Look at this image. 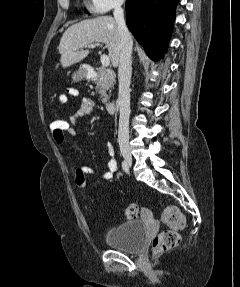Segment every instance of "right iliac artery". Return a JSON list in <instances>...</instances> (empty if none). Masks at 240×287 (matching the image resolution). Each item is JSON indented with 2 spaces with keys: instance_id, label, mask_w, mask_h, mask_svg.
<instances>
[{
  "instance_id": "right-iliac-artery-1",
  "label": "right iliac artery",
  "mask_w": 240,
  "mask_h": 287,
  "mask_svg": "<svg viewBox=\"0 0 240 287\" xmlns=\"http://www.w3.org/2000/svg\"><path fill=\"white\" fill-rule=\"evenodd\" d=\"M122 168L125 172H128V165L125 161L122 162Z\"/></svg>"
}]
</instances>
